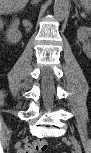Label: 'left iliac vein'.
Instances as JSON below:
<instances>
[{
	"mask_svg": "<svg viewBox=\"0 0 91 153\" xmlns=\"http://www.w3.org/2000/svg\"><path fill=\"white\" fill-rule=\"evenodd\" d=\"M70 140H71V143H72L76 153H81V148H80V145H79L78 141L76 140V138L71 136Z\"/></svg>",
	"mask_w": 91,
	"mask_h": 153,
	"instance_id": "obj_1",
	"label": "left iliac vein"
}]
</instances>
